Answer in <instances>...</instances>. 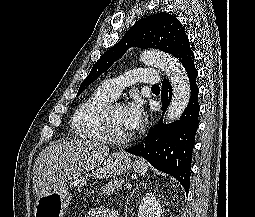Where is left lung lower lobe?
I'll return each instance as SVG.
<instances>
[{
    "instance_id": "0a47b994",
    "label": "left lung lower lobe",
    "mask_w": 255,
    "mask_h": 217,
    "mask_svg": "<svg viewBox=\"0 0 255 217\" xmlns=\"http://www.w3.org/2000/svg\"><path fill=\"white\" fill-rule=\"evenodd\" d=\"M185 68L190 82L191 96L189 104L179 120L166 125L162 120L148 133L143 144L126 149L127 152L146 159L154 168L170 174L189 191L192 151L198 128L199 88L198 75L194 66V53L190 46L181 49L175 56ZM172 97V87L165 78L162 82L161 101L166 111Z\"/></svg>"
}]
</instances>
